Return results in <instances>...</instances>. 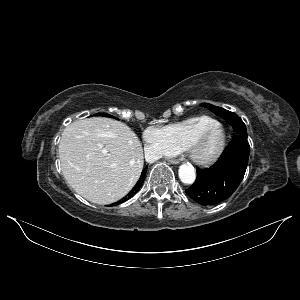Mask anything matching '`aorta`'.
<instances>
[{"label": "aorta", "instance_id": "1", "mask_svg": "<svg viewBox=\"0 0 300 300\" xmlns=\"http://www.w3.org/2000/svg\"><path fill=\"white\" fill-rule=\"evenodd\" d=\"M179 178L184 184H193L196 179L194 167L191 164H182L178 171Z\"/></svg>", "mask_w": 300, "mask_h": 300}]
</instances>
